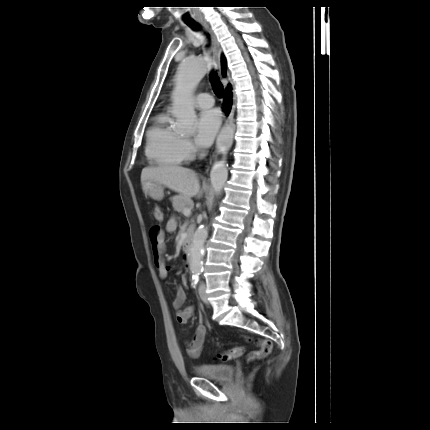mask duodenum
Here are the masks:
<instances>
[{
    "instance_id": "obj_1",
    "label": "duodenum",
    "mask_w": 430,
    "mask_h": 430,
    "mask_svg": "<svg viewBox=\"0 0 430 430\" xmlns=\"http://www.w3.org/2000/svg\"><path fill=\"white\" fill-rule=\"evenodd\" d=\"M191 245H192L191 236L187 235L183 241V247H182L184 254L188 255L190 253Z\"/></svg>"
}]
</instances>
